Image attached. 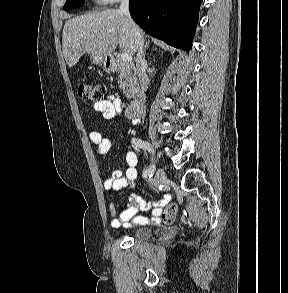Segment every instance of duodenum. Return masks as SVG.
I'll return each instance as SVG.
<instances>
[{
	"instance_id": "410a0bca",
	"label": "duodenum",
	"mask_w": 288,
	"mask_h": 293,
	"mask_svg": "<svg viewBox=\"0 0 288 293\" xmlns=\"http://www.w3.org/2000/svg\"><path fill=\"white\" fill-rule=\"evenodd\" d=\"M107 67L111 70V71H116L118 69V64L116 62V60L114 58H108L107 60ZM144 100H145V97H144V94L142 92H136L132 102H131V109L138 113L143 104H144Z\"/></svg>"
}]
</instances>
